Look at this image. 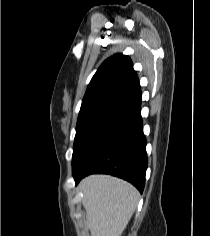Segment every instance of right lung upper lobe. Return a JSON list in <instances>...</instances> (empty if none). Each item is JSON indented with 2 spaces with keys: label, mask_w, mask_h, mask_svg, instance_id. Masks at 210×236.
Here are the masks:
<instances>
[{
  "label": "right lung upper lobe",
  "mask_w": 210,
  "mask_h": 236,
  "mask_svg": "<svg viewBox=\"0 0 210 236\" xmlns=\"http://www.w3.org/2000/svg\"><path fill=\"white\" fill-rule=\"evenodd\" d=\"M139 88V80L131 59L126 55L116 54L99 67L88 85L82 104L116 90L127 89L134 92Z\"/></svg>",
  "instance_id": "right-lung-upper-lobe-1"
}]
</instances>
